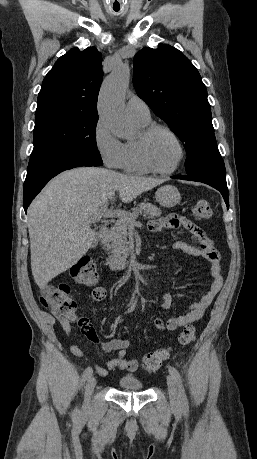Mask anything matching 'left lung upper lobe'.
Segmentation results:
<instances>
[{"label":"left lung upper lobe","instance_id":"left-lung-upper-lobe-1","mask_svg":"<svg viewBox=\"0 0 257 459\" xmlns=\"http://www.w3.org/2000/svg\"><path fill=\"white\" fill-rule=\"evenodd\" d=\"M138 96L183 142L187 175L226 174L216 145L206 86L190 60L172 46L143 48L134 57Z\"/></svg>","mask_w":257,"mask_h":459}]
</instances>
